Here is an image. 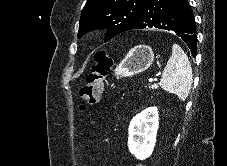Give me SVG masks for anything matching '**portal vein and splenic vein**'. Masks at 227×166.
<instances>
[{
    "label": "portal vein and splenic vein",
    "mask_w": 227,
    "mask_h": 166,
    "mask_svg": "<svg viewBox=\"0 0 227 166\" xmlns=\"http://www.w3.org/2000/svg\"><path fill=\"white\" fill-rule=\"evenodd\" d=\"M153 81H157V79L156 78H151V79H149V82H153ZM153 86H156L157 87V85H153Z\"/></svg>",
    "instance_id": "1"
}]
</instances>
